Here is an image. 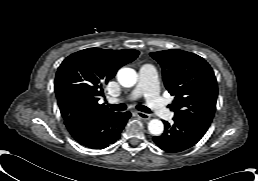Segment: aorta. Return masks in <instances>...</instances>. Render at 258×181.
<instances>
[{"mask_svg": "<svg viewBox=\"0 0 258 181\" xmlns=\"http://www.w3.org/2000/svg\"><path fill=\"white\" fill-rule=\"evenodd\" d=\"M138 75L132 68L123 67L117 73V80L123 87H133L137 83ZM148 130L153 135L163 133L164 125L159 119H152L148 123Z\"/></svg>", "mask_w": 258, "mask_h": 181, "instance_id": "obj_1", "label": "aorta"}]
</instances>
